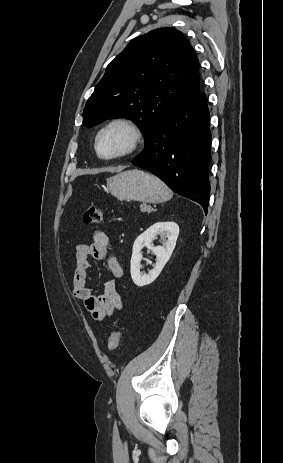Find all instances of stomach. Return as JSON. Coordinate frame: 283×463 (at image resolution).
I'll list each match as a JSON object with an SVG mask.
<instances>
[{
    "instance_id": "1",
    "label": "stomach",
    "mask_w": 283,
    "mask_h": 463,
    "mask_svg": "<svg viewBox=\"0 0 283 463\" xmlns=\"http://www.w3.org/2000/svg\"><path fill=\"white\" fill-rule=\"evenodd\" d=\"M107 188L119 200L159 203L171 197L170 190L156 176L133 169L107 179Z\"/></svg>"
}]
</instances>
